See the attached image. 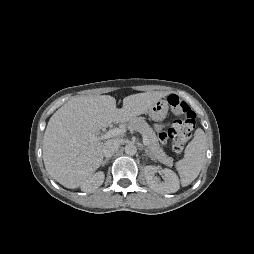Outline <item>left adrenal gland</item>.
Returning a JSON list of instances; mask_svg holds the SVG:
<instances>
[{
    "label": "left adrenal gland",
    "mask_w": 254,
    "mask_h": 254,
    "mask_svg": "<svg viewBox=\"0 0 254 254\" xmlns=\"http://www.w3.org/2000/svg\"><path fill=\"white\" fill-rule=\"evenodd\" d=\"M145 150V154L147 155V156H149L152 160H154L153 158H152V156L150 155V153L148 152V150L147 149H144Z\"/></svg>",
    "instance_id": "a2214340"
}]
</instances>
